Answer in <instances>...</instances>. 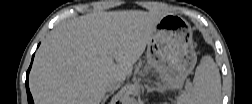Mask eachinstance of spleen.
Masks as SVG:
<instances>
[{
	"instance_id": "spleen-1",
	"label": "spleen",
	"mask_w": 252,
	"mask_h": 104,
	"mask_svg": "<svg viewBox=\"0 0 252 104\" xmlns=\"http://www.w3.org/2000/svg\"><path fill=\"white\" fill-rule=\"evenodd\" d=\"M221 98V77L219 69L210 56H205L196 68L193 84L182 93L180 104H217Z\"/></svg>"
}]
</instances>
